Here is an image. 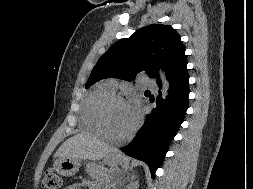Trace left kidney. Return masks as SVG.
I'll return each instance as SVG.
<instances>
[{
  "label": "left kidney",
  "instance_id": "left-kidney-1",
  "mask_svg": "<svg viewBox=\"0 0 253 189\" xmlns=\"http://www.w3.org/2000/svg\"><path fill=\"white\" fill-rule=\"evenodd\" d=\"M138 187V181L134 182L129 188L130 189H137Z\"/></svg>",
  "mask_w": 253,
  "mask_h": 189
}]
</instances>
